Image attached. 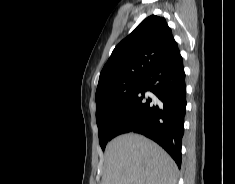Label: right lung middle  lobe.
Segmentation results:
<instances>
[{
	"label": "right lung middle lobe",
	"instance_id": "1",
	"mask_svg": "<svg viewBox=\"0 0 235 184\" xmlns=\"http://www.w3.org/2000/svg\"><path fill=\"white\" fill-rule=\"evenodd\" d=\"M141 86L142 79H139L111 88L105 94V102L97 106L96 122L102 150L108 141L116 137L115 127Z\"/></svg>",
	"mask_w": 235,
	"mask_h": 184
}]
</instances>
